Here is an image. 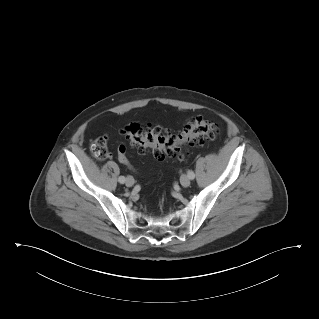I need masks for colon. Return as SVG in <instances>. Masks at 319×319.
Returning a JSON list of instances; mask_svg holds the SVG:
<instances>
[{"mask_svg": "<svg viewBox=\"0 0 319 319\" xmlns=\"http://www.w3.org/2000/svg\"><path fill=\"white\" fill-rule=\"evenodd\" d=\"M218 133V125L202 116L191 118L177 133L135 122L124 128V134L132 146L141 152L151 149L154 157L159 161L182 159L187 145H200L205 141L214 140ZM90 150L98 159H106L109 154L107 141L104 138L94 140ZM118 158L121 163L130 166L126 147L123 145L119 147Z\"/></svg>", "mask_w": 319, "mask_h": 319, "instance_id": "5ec220e1", "label": "colon"}]
</instances>
